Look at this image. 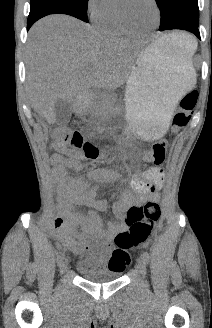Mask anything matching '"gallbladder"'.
Returning <instances> with one entry per match:
<instances>
[{
	"label": "gallbladder",
	"mask_w": 212,
	"mask_h": 328,
	"mask_svg": "<svg viewBox=\"0 0 212 328\" xmlns=\"http://www.w3.org/2000/svg\"><path fill=\"white\" fill-rule=\"evenodd\" d=\"M54 110L56 115V124L66 125L70 121L73 110L71 102L64 99L57 100L54 104Z\"/></svg>",
	"instance_id": "1"
}]
</instances>
